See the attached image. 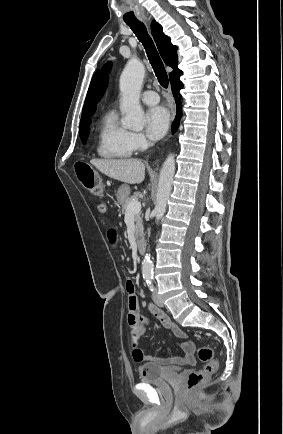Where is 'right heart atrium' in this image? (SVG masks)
<instances>
[{
    "label": "right heart atrium",
    "mask_w": 283,
    "mask_h": 434,
    "mask_svg": "<svg viewBox=\"0 0 283 434\" xmlns=\"http://www.w3.org/2000/svg\"><path fill=\"white\" fill-rule=\"evenodd\" d=\"M130 143L134 151L145 150L149 145V139L142 132H130Z\"/></svg>",
    "instance_id": "1"
}]
</instances>
